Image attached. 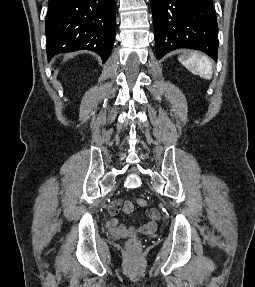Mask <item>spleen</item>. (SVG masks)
<instances>
[{
	"mask_svg": "<svg viewBox=\"0 0 255 287\" xmlns=\"http://www.w3.org/2000/svg\"><path fill=\"white\" fill-rule=\"evenodd\" d=\"M179 60L192 74H197L204 80H211L212 64L207 56H201V54L194 52L191 56H181Z\"/></svg>",
	"mask_w": 255,
	"mask_h": 287,
	"instance_id": "spleen-1",
	"label": "spleen"
}]
</instances>
